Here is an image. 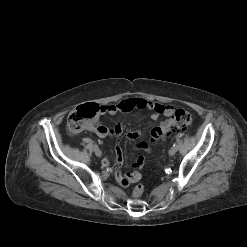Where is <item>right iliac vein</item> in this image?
Returning a JSON list of instances; mask_svg holds the SVG:
<instances>
[{"instance_id":"right-iliac-vein-1","label":"right iliac vein","mask_w":247,"mask_h":247,"mask_svg":"<svg viewBox=\"0 0 247 247\" xmlns=\"http://www.w3.org/2000/svg\"><path fill=\"white\" fill-rule=\"evenodd\" d=\"M94 152L97 157H100L102 155V152L99 148L94 149Z\"/></svg>"}]
</instances>
